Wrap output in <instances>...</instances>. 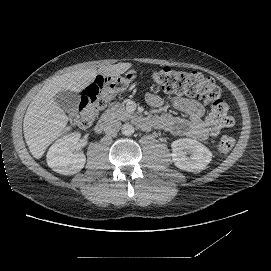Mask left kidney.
Listing matches in <instances>:
<instances>
[{"mask_svg":"<svg viewBox=\"0 0 271 271\" xmlns=\"http://www.w3.org/2000/svg\"><path fill=\"white\" fill-rule=\"evenodd\" d=\"M171 147L172 160L175 166L181 170L199 172L212 159L211 151L197 140L181 138L173 141Z\"/></svg>","mask_w":271,"mask_h":271,"instance_id":"obj_1","label":"left kidney"}]
</instances>
